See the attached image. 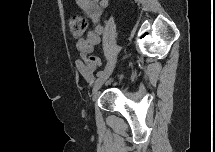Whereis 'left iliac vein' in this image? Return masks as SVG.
Returning <instances> with one entry per match:
<instances>
[{
    "instance_id": "4c4485c4",
    "label": "left iliac vein",
    "mask_w": 215,
    "mask_h": 152,
    "mask_svg": "<svg viewBox=\"0 0 215 152\" xmlns=\"http://www.w3.org/2000/svg\"><path fill=\"white\" fill-rule=\"evenodd\" d=\"M115 64H116V58H113L110 61V63L106 66V68L102 71L103 74L99 76L98 79L95 81V84L93 87V99L96 98L97 90L104 84V82L108 79V77L113 72Z\"/></svg>"
}]
</instances>
